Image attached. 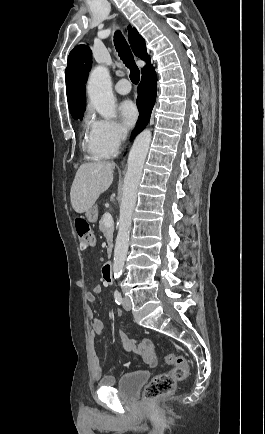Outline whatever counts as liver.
I'll return each instance as SVG.
<instances>
[{
    "mask_svg": "<svg viewBox=\"0 0 265 434\" xmlns=\"http://www.w3.org/2000/svg\"><path fill=\"white\" fill-rule=\"evenodd\" d=\"M114 168L112 162H91L80 166L70 192L72 208L77 214L88 212L100 194L108 190L113 182Z\"/></svg>",
    "mask_w": 265,
    "mask_h": 434,
    "instance_id": "liver-1",
    "label": "liver"
}]
</instances>
